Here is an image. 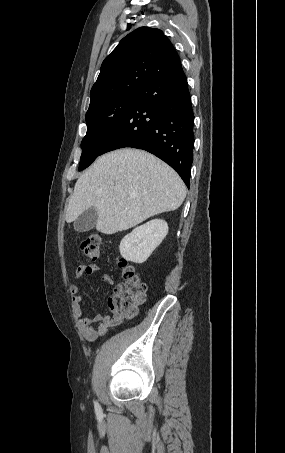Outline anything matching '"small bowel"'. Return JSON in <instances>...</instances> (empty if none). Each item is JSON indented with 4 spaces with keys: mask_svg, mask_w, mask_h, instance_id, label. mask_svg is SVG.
<instances>
[{
    "mask_svg": "<svg viewBox=\"0 0 285 453\" xmlns=\"http://www.w3.org/2000/svg\"><path fill=\"white\" fill-rule=\"evenodd\" d=\"M98 271L99 268L95 264L80 265L75 271V277L81 278L84 275H92ZM102 281L107 285H112L113 283L108 274H103ZM70 290L72 293L73 315L82 336L88 342H94L104 336L111 327L119 325L125 319V316L118 310L115 298H110L108 301V307L112 315L96 314L92 317L83 316L82 297L79 294V285L72 284Z\"/></svg>",
    "mask_w": 285,
    "mask_h": 453,
    "instance_id": "small-bowel-1",
    "label": "small bowel"
}]
</instances>
